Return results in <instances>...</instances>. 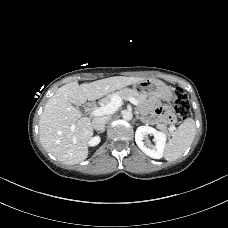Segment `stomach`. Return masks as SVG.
I'll list each match as a JSON object with an SVG mask.
<instances>
[{"instance_id": "obj_1", "label": "stomach", "mask_w": 228, "mask_h": 228, "mask_svg": "<svg viewBox=\"0 0 228 228\" xmlns=\"http://www.w3.org/2000/svg\"><path fill=\"white\" fill-rule=\"evenodd\" d=\"M133 89L146 96H153L164 101H170L173 97L171 88L164 82L154 78H147L133 84Z\"/></svg>"}]
</instances>
